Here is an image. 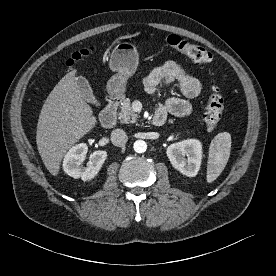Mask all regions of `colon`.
<instances>
[{"instance_id":"5ec220e1","label":"colon","mask_w":276,"mask_h":276,"mask_svg":"<svg viewBox=\"0 0 276 276\" xmlns=\"http://www.w3.org/2000/svg\"><path fill=\"white\" fill-rule=\"evenodd\" d=\"M167 43L171 48L185 54L199 64H208L212 61L211 54L205 48L188 42L180 36L170 35ZM89 54V49L77 50L66 60V65L73 66L77 61ZM224 104L225 100L220 89L213 87L207 99L203 116L204 125L209 131L215 130L221 122L224 113Z\"/></svg>"}]
</instances>
